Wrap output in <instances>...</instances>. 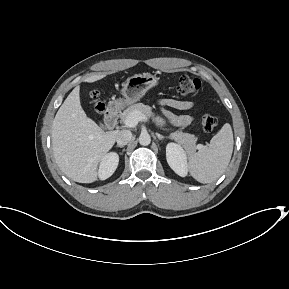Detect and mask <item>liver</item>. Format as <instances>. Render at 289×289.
Masks as SVG:
<instances>
[{
	"label": "liver",
	"instance_id": "1",
	"mask_svg": "<svg viewBox=\"0 0 289 289\" xmlns=\"http://www.w3.org/2000/svg\"><path fill=\"white\" fill-rule=\"evenodd\" d=\"M106 74H95L84 81L93 83ZM80 87L65 99L53 121L52 149L60 170L79 183L97 180L98 164L115 143L118 131L104 132L87 117L80 103Z\"/></svg>",
	"mask_w": 289,
	"mask_h": 289
}]
</instances>
